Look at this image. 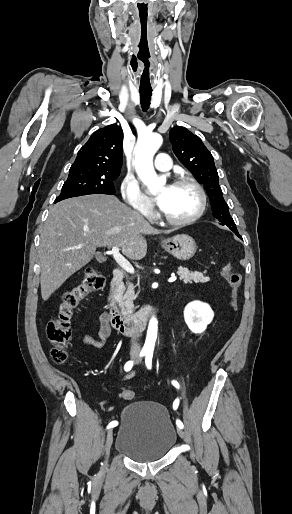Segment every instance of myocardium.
Segmentation results:
<instances>
[{
  "label": "myocardium",
  "mask_w": 292,
  "mask_h": 514,
  "mask_svg": "<svg viewBox=\"0 0 292 514\" xmlns=\"http://www.w3.org/2000/svg\"><path fill=\"white\" fill-rule=\"evenodd\" d=\"M177 186H189L192 189H194V191L196 192V194L198 196V205H197L196 210L193 212V214H191L190 216L183 218V219H174V218L168 216L162 209H160V213H161V217L163 218V220L166 221L167 223H169L171 225L182 226V225H187V224L194 222L202 215V213L204 212V209H205L206 197H205L203 188L200 186V184L197 181H195L192 178H188V177L178 178L177 180H175L173 182L171 187H177Z\"/></svg>",
  "instance_id": "obj_1"
}]
</instances>
